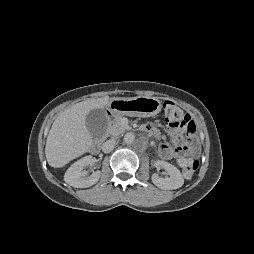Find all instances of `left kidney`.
Returning a JSON list of instances; mask_svg holds the SVG:
<instances>
[{"label": "left kidney", "instance_id": "1", "mask_svg": "<svg viewBox=\"0 0 254 254\" xmlns=\"http://www.w3.org/2000/svg\"><path fill=\"white\" fill-rule=\"evenodd\" d=\"M155 166L163 168L166 171L167 176L160 177L154 173L152 175V182L159 188L164 190L178 189L184 184V179L180 171L172 164L158 160L155 162Z\"/></svg>", "mask_w": 254, "mask_h": 254}]
</instances>
